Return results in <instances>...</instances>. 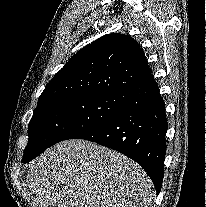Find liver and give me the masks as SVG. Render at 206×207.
<instances>
[{
    "label": "liver",
    "instance_id": "1",
    "mask_svg": "<svg viewBox=\"0 0 206 207\" xmlns=\"http://www.w3.org/2000/svg\"><path fill=\"white\" fill-rule=\"evenodd\" d=\"M39 207H152L155 189L123 154L93 142H60L34 159L26 176Z\"/></svg>",
    "mask_w": 206,
    "mask_h": 207
}]
</instances>
